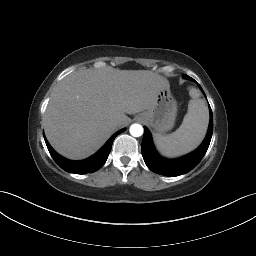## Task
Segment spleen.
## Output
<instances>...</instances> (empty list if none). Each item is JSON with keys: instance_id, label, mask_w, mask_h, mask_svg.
I'll list each match as a JSON object with an SVG mask.
<instances>
[{"instance_id": "obj_1", "label": "spleen", "mask_w": 256, "mask_h": 256, "mask_svg": "<svg viewBox=\"0 0 256 256\" xmlns=\"http://www.w3.org/2000/svg\"><path fill=\"white\" fill-rule=\"evenodd\" d=\"M191 100L187 114L181 126L172 134L156 133L154 141L160 153L167 157H175L194 150L203 140L209 121L208 107L204 100L199 98V91L191 88Z\"/></svg>"}]
</instances>
